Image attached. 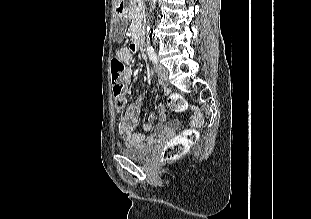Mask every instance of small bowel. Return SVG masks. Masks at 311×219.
Returning a JSON list of instances; mask_svg holds the SVG:
<instances>
[{
	"mask_svg": "<svg viewBox=\"0 0 311 219\" xmlns=\"http://www.w3.org/2000/svg\"><path fill=\"white\" fill-rule=\"evenodd\" d=\"M117 58L121 61L128 63L130 60V53L128 49L121 48L116 53ZM124 81L127 85L132 82V70L127 68L124 73ZM143 106V99L141 97L137 98L133 103L129 104L125 109V113L123 118L121 119L118 131L120 137L128 144V145H141L144 143L146 135L143 132H136V128L138 126L139 117L141 113V109ZM194 113H197V110H194ZM159 116L163 123H159L156 126V134L154 138H159L162 136H169L174 126L165 124L166 120V112L163 108L159 110ZM156 121V114L151 112L147 115L146 122L142 125V129L144 132H149L154 128V124ZM199 123L197 118H193L190 122L191 125H197Z\"/></svg>",
	"mask_w": 311,
	"mask_h": 219,
	"instance_id": "small-bowel-1",
	"label": "small bowel"
}]
</instances>
